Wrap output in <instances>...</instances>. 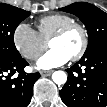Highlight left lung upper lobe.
I'll return each instance as SVG.
<instances>
[{
  "label": "left lung upper lobe",
  "mask_w": 107,
  "mask_h": 107,
  "mask_svg": "<svg viewBox=\"0 0 107 107\" xmlns=\"http://www.w3.org/2000/svg\"><path fill=\"white\" fill-rule=\"evenodd\" d=\"M60 10L75 14L86 26L89 43L84 55L107 45V13L86 2L73 3Z\"/></svg>",
  "instance_id": "obj_1"
}]
</instances>
